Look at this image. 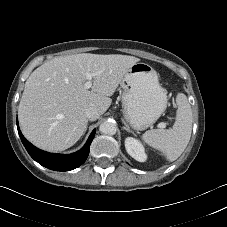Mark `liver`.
I'll list each match as a JSON object with an SVG mask.
<instances>
[{"mask_svg": "<svg viewBox=\"0 0 227 227\" xmlns=\"http://www.w3.org/2000/svg\"><path fill=\"white\" fill-rule=\"evenodd\" d=\"M139 61L128 55L82 53L45 62L25 83L18 107L23 135L48 151L73 146L87 127L86 109L104 114L122 78ZM87 72L94 75L91 91L84 87Z\"/></svg>", "mask_w": 227, "mask_h": 227, "instance_id": "6515ba94", "label": "liver"}]
</instances>
